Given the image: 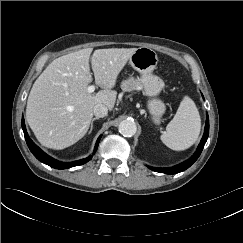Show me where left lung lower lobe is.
Returning a JSON list of instances; mask_svg holds the SVG:
<instances>
[{
    "mask_svg": "<svg viewBox=\"0 0 243 243\" xmlns=\"http://www.w3.org/2000/svg\"><path fill=\"white\" fill-rule=\"evenodd\" d=\"M208 135H209V118H208V115H207L204 135L202 137V140H201L196 152L194 153V155L190 159H188L187 161H185V162H183L179 165H176L174 167H170V168H150V169L153 170V171H156V172L166 173V174H176V173H179V172L186 170L200 156V154H201V152L204 148V145L207 141Z\"/></svg>",
    "mask_w": 243,
    "mask_h": 243,
    "instance_id": "0a47b994",
    "label": "left lung lower lobe"
}]
</instances>
